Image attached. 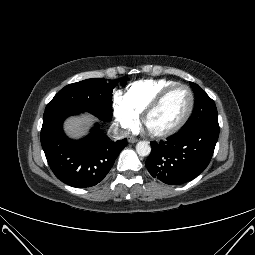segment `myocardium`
Here are the masks:
<instances>
[{
    "label": "myocardium",
    "instance_id": "1",
    "mask_svg": "<svg viewBox=\"0 0 255 255\" xmlns=\"http://www.w3.org/2000/svg\"><path fill=\"white\" fill-rule=\"evenodd\" d=\"M179 88H184L188 91L189 96H190V103H189V107L185 113V115L182 117V119L173 127L167 129V130H163V131H153L151 129L148 128L147 126V121L148 118L150 117V115L156 111L159 106L162 104V102L165 100V98L172 93L173 91L179 89ZM194 104H195V97H194V93L192 91V89L185 85V84H175L172 85L166 89H164L162 92H160L150 103L149 105L144 109L143 113H142V125L143 128L145 129V131L154 138H167L169 136L174 135L175 133H177L185 124L186 122L189 120L193 109H194Z\"/></svg>",
    "mask_w": 255,
    "mask_h": 255
}]
</instances>
